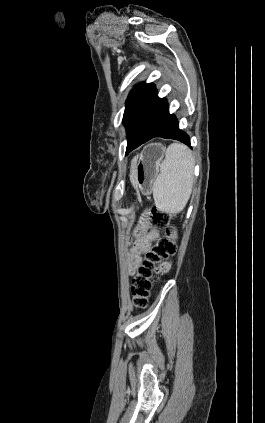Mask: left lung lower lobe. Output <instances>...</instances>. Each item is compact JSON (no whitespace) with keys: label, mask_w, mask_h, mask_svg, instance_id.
I'll use <instances>...</instances> for the list:
<instances>
[{"label":"left lung lower lobe","mask_w":265,"mask_h":423,"mask_svg":"<svg viewBox=\"0 0 265 423\" xmlns=\"http://www.w3.org/2000/svg\"><path fill=\"white\" fill-rule=\"evenodd\" d=\"M127 125L128 154L154 137L171 138L190 146L189 136L179 129L177 118L169 114L165 98H159L155 86L142 83L129 110Z\"/></svg>","instance_id":"0a47b994"}]
</instances>
